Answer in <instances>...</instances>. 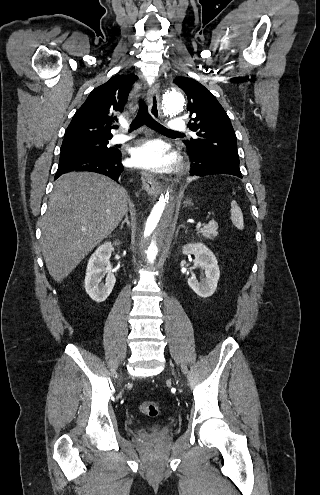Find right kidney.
Returning a JSON list of instances; mask_svg holds the SVG:
<instances>
[{"label":"right kidney","instance_id":"obj_1","mask_svg":"<svg viewBox=\"0 0 320 495\" xmlns=\"http://www.w3.org/2000/svg\"><path fill=\"white\" fill-rule=\"evenodd\" d=\"M117 244L119 243L115 242V245ZM113 250L111 242L100 245L91 255L87 264L85 290L90 298L98 303L108 298L116 283L114 274L108 270L109 259ZM104 275H106V280L105 283H102L101 280Z\"/></svg>","mask_w":320,"mask_h":495}]
</instances>
